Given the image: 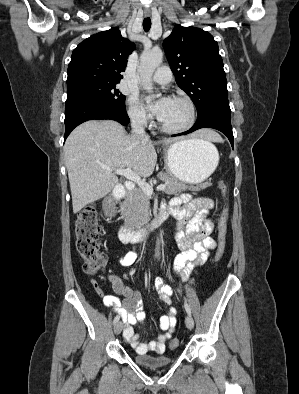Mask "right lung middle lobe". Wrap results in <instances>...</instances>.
I'll use <instances>...</instances> for the list:
<instances>
[{
	"instance_id": "dd1d6c3e",
	"label": "right lung middle lobe",
	"mask_w": 299,
	"mask_h": 394,
	"mask_svg": "<svg viewBox=\"0 0 299 394\" xmlns=\"http://www.w3.org/2000/svg\"><path fill=\"white\" fill-rule=\"evenodd\" d=\"M118 83L91 82L67 88V100L97 99L118 110L125 109L126 97L116 88Z\"/></svg>"
}]
</instances>
